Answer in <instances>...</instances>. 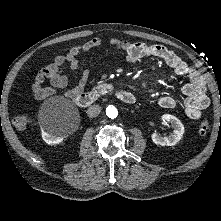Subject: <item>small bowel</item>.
Wrapping results in <instances>:
<instances>
[{
	"mask_svg": "<svg viewBox=\"0 0 221 221\" xmlns=\"http://www.w3.org/2000/svg\"><path fill=\"white\" fill-rule=\"evenodd\" d=\"M103 43L104 40L101 37H94L71 47L65 55L56 56L51 64L46 65L36 75L32 86L33 95L37 99H45L61 92L64 96L75 99L78 94L83 92L89 79V71L81 66L79 57L102 46ZM108 43L115 49L124 52L125 60L129 63H135L143 58H159L177 75L187 77L188 82L182 89L184 112L190 119L196 120L201 117L202 112L209 105V98L205 82L197 69L189 66L177 54L162 45L130 42L118 38H110ZM65 65L72 71H80L77 83L70 89H67L69 79L63 71ZM45 80H49L50 86H43ZM158 104L162 108L170 109L176 106V100L165 95L159 98Z\"/></svg>",
	"mask_w": 221,
	"mask_h": 221,
	"instance_id": "obj_1",
	"label": "small bowel"
}]
</instances>
